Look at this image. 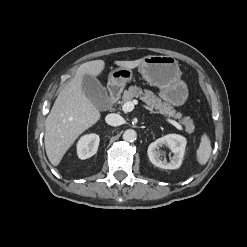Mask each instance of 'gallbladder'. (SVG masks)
I'll list each match as a JSON object with an SVG mask.
<instances>
[{"instance_id": "obj_1", "label": "gallbladder", "mask_w": 247, "mask_h": 247, "mask_svg": "<svg viewBox=\"0 0 247 247\" xmlns=\"http://www.w3.org/2000/svg\"><path fill=\"white\" fill-rule=\"evenodd\" d=\"M82 89L87 98L98 108L103 109L108 100L106 88L100 81L90 75L83 76Z\"/></svg>"}]
</instances>
